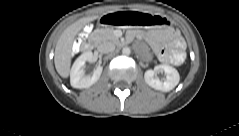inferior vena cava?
Masks as SVG:
<instances>
[{"label":"inferior vena cava","instance_id":"1","mask_svg":"<svg viewBox=\"0 0 239 136\" xmlns=\"http://www.w3.org/2000/svg\"><path fill=\"white\" fill-rule=\"evenodd\" d=\"M97 49L100 53H110L115 50V45L112 42H103Z\"/></svg>","mask_w":239,"mask_h":136}]
</instances>
